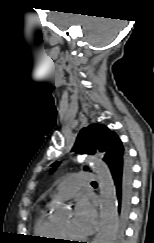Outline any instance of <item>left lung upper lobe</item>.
<instances>
[{"mask_svg": "<svg viewBox=\"0 0 154 243\" xmlns=\"http://www.w3.org/2000/svg\"><path fill=\"white\" fill-rule=\"evenodd\" d=\"M79 154H95L101 152L103 154V159L106 161L107 158H115L120 155L124 158L125 151L121 140L114 131L108 129L102 124H92L86 128H83L72 148ZM59 165L58 162L53 163L51 166V172ZM88 170V167L84 168Z\"/></svg>", "mask_w": 154, "mask_h": 243, "instance_id": "obj_1", "label": "left lung upper lobe"}]
</instances>
